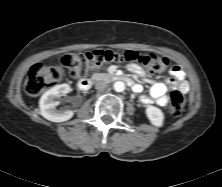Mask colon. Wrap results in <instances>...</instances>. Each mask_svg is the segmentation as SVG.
<instances>
[{"instance_id":"5ec220e1","label":"colon","mask_w":222,"mask_h":187,"mask_svg":"<svg viewBox=\"0 0 222 187\" xmlns=\"http://www.w3.org/2000/svg\"><path fill=\"white\" fill-rule=\"evenodd\" d=\"M114 62L135 63L145 67L153 75L164 72L169 65L166 58L154 53L117 52L113 50L67 53L61 57V66L34 65L28 72L24 89L28 96L35 97L45 89L60 83L65 71L75 80H85L105 65ZM185 104L186 97L181 91L174 90L171 92L169 110L172 115H181Z\"/></svg>"}]
</instances>
